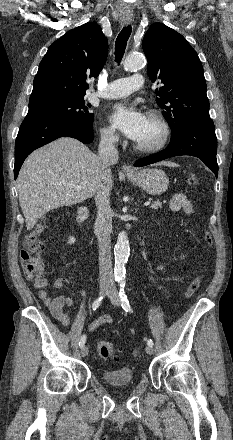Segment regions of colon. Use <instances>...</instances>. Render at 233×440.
Instances as JSON below:
<instances>
[{"label":"colon","instance_id":"1","mask_svg":"<svg viewBox=\"0 0 233 440\" xmlns=\"http://www.w3.org/2000/svg\"><path fill=\"white\" fill-rule=\"evenodd\" d=\"M188 183L192 186L199 184V179L195 174H191ZM43 230V225H38L33 231L25 236L23 249L20 251V260L25 277L43 286L46 282L44 265L40 259L44 246L39 240L38 235ZM203 238L207 246L212 245V238L208 231L204 230ZM201 284V276H196L188 285L185 291L187 298L192 297ZM97 352L103 359L113 358L115 356V348L112 343L101 340L97 343ZM133 356L139 354L138 350L132 352Z\"/></svg>","mask_w":233,"mask_h":440}]
</instances>
